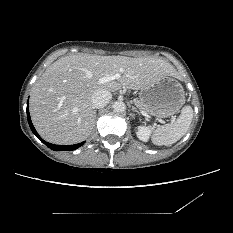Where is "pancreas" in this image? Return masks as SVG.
<instances>
[{
    "mask_svg": "<svg viewBox=\"0 0 233 233\" xmlns=\"http://www.w3.org/2000/svg\"><path fill=\"white\" fill-rule=\"evenodd\" d=\"M137 106L139 107V109H141L142 111L146 112L145 107L143 106V104L141 103V101L137 102Z\"/></svg>",
    "mask_w": 233,
    "mask_h": 233,
    "instance_id": "pancreas-1",
    "label": "pancreas"
}]
</instances>
